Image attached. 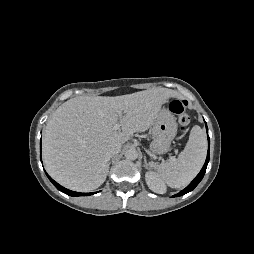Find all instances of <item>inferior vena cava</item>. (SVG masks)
<instances>
[{"label":"inferior vena cava","mask_w":254,"mask_h":254,"mask_svg":"<svg viewBox=\"0 0 254 254\" xmlns=\"http://www.w3.org/2000/svg\"><path fill=\"white\" fill-rule=\"evenodd\" d=\"M121 151V144L114 142L108 145L106 148V156L111 158L112 156L118 154Z\"/></svg>","instance_id":"1"}]
</instances>
